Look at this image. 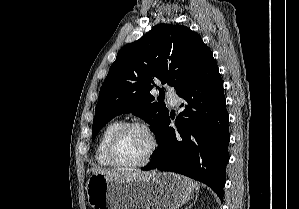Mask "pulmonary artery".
<instances>
[{"label":"pulmonary artery","instance_id":"1","mask_svg":"<svg viewBox=\"0 0 299 209\" xmlns=\"http://www.w3.org/2000/svg\"><path fill=\"white\" fill-rule=\"evenodd\" d=\"M166 97L172 106L177 105L179 98H178V95L173 90H167Z\"/></svg>","mask_w":299,"mask_h":209}]
</instances>
